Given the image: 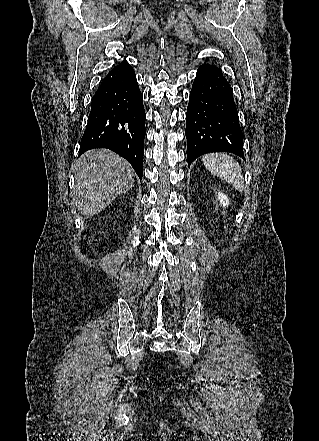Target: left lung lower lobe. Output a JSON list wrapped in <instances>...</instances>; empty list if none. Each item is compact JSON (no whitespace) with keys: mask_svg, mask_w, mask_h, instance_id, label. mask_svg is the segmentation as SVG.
Listing matches in <instances>:
<instances>
[{"mask_svg":"<svg viewBox=\"0 0 319 441\" xmlns=\"http://www.w3.org/2000/svg\"><path fill=\"white\" fill-rule=\"evenodd\" d=\"M189 165L211 152H230L244 158L243 133L233 90L214 65L199 67L186 112Z\"/></svg>","mask_w":319,"mask_h":441,"instance_id":"left-lung-lower-lobe-1","label":"left lung lower lobe"}]
</instances>
